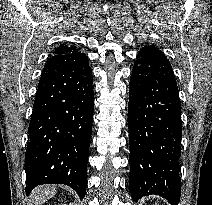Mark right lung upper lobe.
<instances>
[{
  "mask_svg": "<svg viewBox=\"0 0 212 205\" xmlns=\"http://www.w3.org/2000/svg\"><path fill=\"white\" fill-rule=\"evenodd\" d=\"M73 52H80L76 46H67V45H60L59 47L55 48L52 55H59V54H67Z\"/></svg>",
  "mask_w": 212,
  "mask_h": 205,
  "instance_id": "1",
  "label": "right lung upper lobe"
}]
</instances>
